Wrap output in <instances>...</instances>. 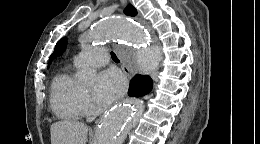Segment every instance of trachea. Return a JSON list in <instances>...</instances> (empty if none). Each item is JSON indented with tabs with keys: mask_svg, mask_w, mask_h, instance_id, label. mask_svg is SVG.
<instances>
[{
	"mask_svg": "<svg viewBox=\"0 0 260 144\" xmlns=\"http://www.w3.org/2000/svg\"><path fill=\"white\" fill-rule=\"evenodd\" d=\"M111 57L114 61L119 62V60L114 52H111Z\"/></svg>",
	"mask_w": 260,
	"mask_h": 144,
	"instance_id": "trachea-1",
	"label": "trachea"
}]
</instances>
